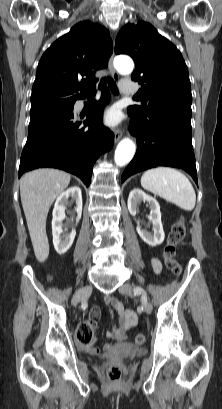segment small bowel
Instances as JSON below:
<instances>
[{"instance_id":"1","label":"small bowel","mask_w":222,"mask_h":409,"mask_svg":"<svg viewBox=\"0 0 222 409\" xmlns=\"http://www.w3.org/2000/svg\"><path fill=\"white\" fill-rule=\"evenodd\" d=\"M151 263L155 272L160 273L162 270L160 260L158 258H152ZM106 304L114 311L117 318V324L111 330L106 332V336L114 341V343L106 344L104 346V350H110L115 343H120L126 339L128 331L136 326L138 317L133 310L125 308L123 302L113 296H108L106 298ZM100 315L101 311L98 307L91 309L88 321L94 330L97 327ZM93 342L94 338L90 344L80 343V345L88 353L96 355L100 352V349L93 346Z\"/></svg>"}]
</instances>
